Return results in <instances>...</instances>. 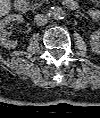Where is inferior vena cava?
I'll return each mask as SVG.
<instances>
[{"mask_svg": "<svg viewBox=\"0 0 100 118\" xmlns=\"http://www.w3.org/2000/svg\"><path fill=\"white\" fill-rule=\"evenodd\" d=\"M48 22V17L44 14H37L35 17H34V23L37 25V26H44L46 25Z\"/></svg>", "mask_w": 100, "mask_h": 118, "instance_id": "602c4592", "label": "inferior vena cava"}]
</instances>
